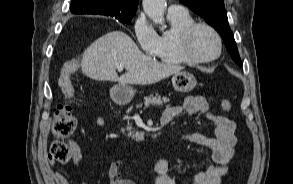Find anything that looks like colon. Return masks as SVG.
Segmentation results:
<instances>
[{
    "label": "colon",
    "mask_w": 293,
    "mask_h": 184,
    "mask_svg": "<svg viewBox=\"0 0 293 184\" xmlns=\"http://www.w3.org/2000/svg\"><path fill=\"white\" fill-rule=\"evenodd\" d=\"M80 59L76 58L67 62L60 77V85L64 94V101L55 110L52 124V135L55 141L52 143L49 152V160L54 163H67L71 159V148L66 139L71 136L76 128V119L73 115L71 99L74 89L71 84V75L78 69ZM221 107L224 111L230 112L232 104L228 99L221 100Z\"/></svg>",
    "instance_id": "5ec220e1"
}]
</instances>
